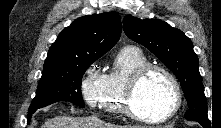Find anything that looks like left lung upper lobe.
<instances>
[{
  "instance_id": "1",
  "label": "left lung upper lobe",
  "mask_w": 221,
  "mask_h": 128,
  "mask_svg": "<svg viewBox=\"0 0 221 128\" xmlns=\"http://www.w3.org/2000/svg\"><path fill=\"white\" fill-rule=\"evenodd\" d=\"M123 29L130 39L149 49L178 78L189 106L185 118L210 122L192 41L182 31L160 19H139L127 15L123 19Z\"/></svg>"
}]
</instances>
